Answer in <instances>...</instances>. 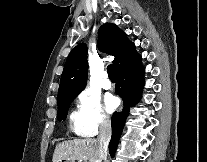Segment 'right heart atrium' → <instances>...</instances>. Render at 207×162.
Masks as SVG:
<instances>
[{"instance_id": "right-heart-atrium-1", "label": "right heart atrium", "mask_w": 207, "mask_h": 162, "mask_svg": "<svg viewBox=\"0 0 207 162\" xmlns=\"http://www.w3.org/2000/svg\"><path fill=\"white\" fill-rule=\"evenodd\" d=\"M78 132L83 136H92L100 128L109 124V118L105 114L98 97L91 91H82L77 99Z\"/></svg>"}]
</instances>
